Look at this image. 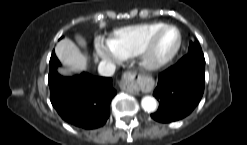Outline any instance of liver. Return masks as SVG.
<instances>
[{"mask_svg": "<svg viewBox=\"0 0 247 145\" xmlns=\"http://www.w3.org/2000/svg\"><path fill=\"white\" fill-rule=\"evenodd\" d=\"M79 44L84 46L81 38ZM55 53L65 68H59L58 72L64 76L80 74L87 70V57L79 50L74 42L65 38L57 43Z\"/></svg>", "mask_w": 247, "mask_h": 145, "instance_id": "6515ba94", "label": "liver"}]
</instances>
